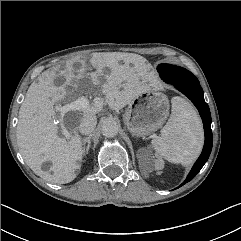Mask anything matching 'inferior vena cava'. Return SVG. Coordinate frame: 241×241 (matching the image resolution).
Here are the masks:
<instances>
[{
	"mask_svg": "<svg viewBox=\"0 0 241 241\" xmlns=\"http://www.w3.org/2000/svg\"><path fill=\"white\" fill-rule=\"evenodd\" d=\"M97 124V118L93 114L86 113L83 115L80 124L78 126V130L83 135L91 134Z\"/></svg>",
	"mask_w": 241,
	"mask_h": 241,
	"instance_id": "1",
	"label": "inferior vena cava"
}]
</instances>
